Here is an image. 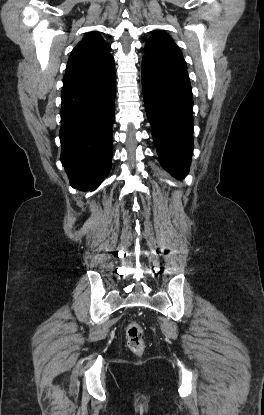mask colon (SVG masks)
I'll list each match as a JSON object with an SVG mask.
<instances>
[{
	"label": "colon",
	"mask_w": 264,
	"mask_h": 415,
	"mask_svg": "<svg viewBox=\"0 0 264 415\" xmlns=\"http://www.w3.org/2000/svg\"><path fill=\"white\" fill-rule=\"evenodd\" d=\"M126 337L129 348L140 353L144 349L143 328L136 321H130L126 328Z\"/></svg>",
	"instance_id": "5ec220e1"
}]
</instances>
